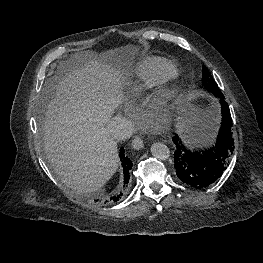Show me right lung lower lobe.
<instances>
[{
	"mask_svg": "<svg viewBox=\"0 0 263 263\" xmlns=\"http://www.w3.org/2000/svg\"><path fill=\"white\" fill-rule=\"evenodd\" d=\"M124 152H125L124 148H121L119 156H120L122 166H123L124 184L127 185L129 182V178H130L129 172L132 168L133 163L127 156H125ZM121 195H122V193L118 194L117 196H113L109 200H106V202H116L119 200Z\"/></svg>",
	"mask_w": 263,
	"mask_h": 263,
	"instance_id": "1",
	"label": "right lung lower lobe"
}]
</instances>
